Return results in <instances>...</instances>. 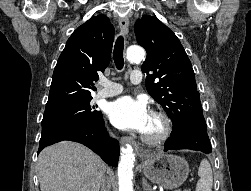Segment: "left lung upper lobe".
<instances>
[{
    "label": "left lung upper lobe",
    "instance_id": "5c2ea615",
    "mask_svg": "<svg viewBox=\"0 0 251 191\" xmlns=\"http://www.w3.org/2000/svg\"><path fill=\"white\" fill-rule=\"evenodd\" d=\"M135 34L147 51L141 67L147 73V91L171 118V134L192 126L206 129L194 71L179 39L160 20L148 15L136 21Z\"/></svg>",
    "mask_w": 251,
    "mask_h": 191
}]
</instances>
